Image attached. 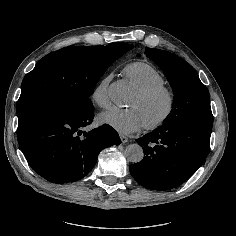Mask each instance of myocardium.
<instances>
[{"label":"myocardium","mask_w":236,"mask_h":236,"mask_svg":"<svg viewBox=\"0 0 236 236\" xmlns=\"http://www.w3.org/2000/svg\"><path fill=\"white\" fill-rule=\"evenodd\" d=\"M137 97L142 102H150L158 97H164L167 102V107L164 114L156 121L145 124V129L148 131H153L164 126L169 119L172 117L176 108V94L175 91L167 85H161L145 91H137Z\"/></svg>","instance_id":"obj_1"}]
</instances>
